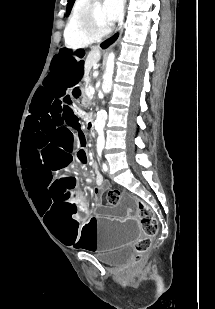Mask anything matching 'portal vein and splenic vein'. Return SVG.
I'll return each mask as SVG.
<instances>
[{
    "label": "portal vein and splenic vein",
    "mask_w": 215,
    "mask_h": 309,
    "mask_svg": "<svg viewBox=\"0 0 215 309\" xmlns=\"http://www.w3.org/2000/svg\"><path fill=\"white\" fill-rule=\"evenodd\" d=\"M86 92H88V94H94L95 88H93V86H90V88H86Z\"/></svg>",
    "instance_id": "18ae733b"
}]
</instances>
